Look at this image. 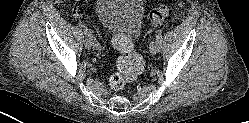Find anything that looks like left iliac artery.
Instances as JSON below:
<instances>
[{
    "label": "left iliac artery",
    "instance_id": "left-iliac-artery-1",
    "mask_svg": "<svg viewBox=\"0 0 249 123\" xmlns=\"http://www.w3.org/2000/svg\"><path fill=\"white\" fill-rule=\"evenodd\" d=\"M156 41H157V44H158V47H159V50L161 48V43H162V31L161 30H158L157 31V34H156Z\"/></svg>",
    "mask_w": 249,
    "mask_h": 123
}]
</instances>
